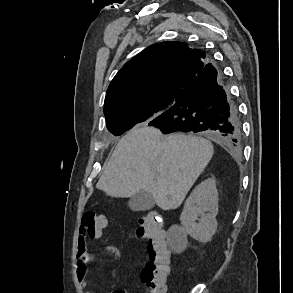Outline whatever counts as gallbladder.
I'll return each mask as SVG.
<instances>
[{
    "label": "gallbladder",
    "instance_id": "obj_1",
    "mask_svg": "<svg viewBox=\"0 0 293 293\" xmlns=\"http://www.w3.org/2000/svg\"><path fill=\"white\" fill-rule=\"evenodd\" d=\"M155 200L153 196L145 191H140L131 196L128 201V206L133 211H147L154 207Z\"/></svg>",
    "mask_w": 293,
    "mask_h": 293
}]
</instances>
